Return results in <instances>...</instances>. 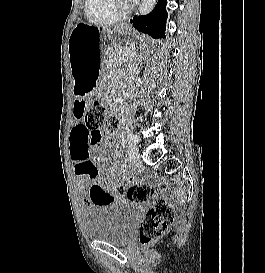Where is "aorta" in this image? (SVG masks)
I'll use <instances>...</instances> for the list:
<instances>
[{
	"label": "aorta",
	"mask_w": 265,
	"mask_h": 273,
	"mask_svg": "<svg viewBox=\"0 0 265 273\" xmlns=\"http://www.w3.org/2000/svg\"><path fill=\"white\" fill-rule=\"evenodd\" d=\"M157 0H142L139 7L140 15L149 14L156 5Z\"/></svg>",
	"instance_id": "1"
}]
</instances>
